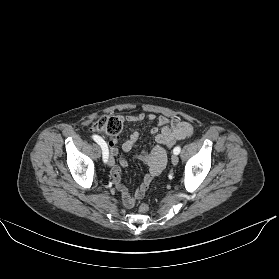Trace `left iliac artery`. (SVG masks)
<instances>
[{
    "label": "left iliac artery",
    "instance_id": "1",
    "mask_svg": "<svg viewBox=\"0 0 279 279\" xmlns=\"http://www.w3.org/2000/svg\"><path fill=\"white\" fill-rule=\"evenodd\" d=\"M180 151H181V147H180V146H176V147L174 148V150H173V153H174V154H179Z\"/></svg>",
    "mask_w": 279,
    "mask_h": 279
}]
</instances>
